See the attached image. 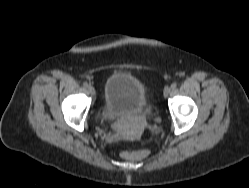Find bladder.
Wrapping results in <instances>:
<instances>
[{
	"label": "bladder",
	"instance_id": "bladder-1",
	"mask_svg": "<svg viewBox=\"0 0 249 188\" xmlns=\"http://www.w3.org/2000/svg\"><path fill=\"white\" fill-rule=\"evenodd\" d=\"M126 112H136L148 118L151 114L149 94L137 77L116 71L105 81L101 117L110 121Z\"/></svg>",
	"mask_w": 249,
	"mask_h": 188
}]
</instances>
